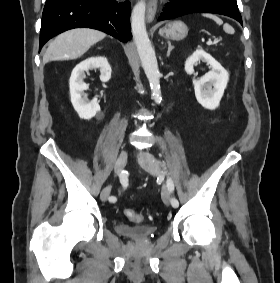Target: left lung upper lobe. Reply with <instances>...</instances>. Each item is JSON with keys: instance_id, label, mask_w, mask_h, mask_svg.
Here are the masks:
<instances>
[{"instance_id": "1", "label": "left lung upper lobe", "mask_w": 280, "mask_h": 283, "mask_svg": "<svg viewBox=\"0 0 280 283\" xmlns=\"http://www.w3.org/2000/svg\"><path fill=\"white\" fill-rule=\"evenodd\" d=\"M218 1L224 2V3L229 4V5H231L235 8H238L236 0H218Z\"/></svg>"}]
</instances>
